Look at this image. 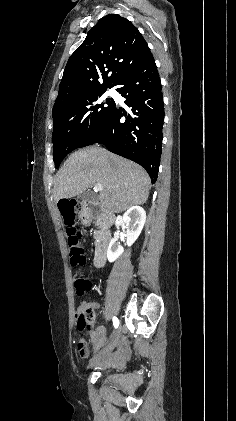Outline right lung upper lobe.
I'll use <instances>...</instances> for the list:
<instances>
[{"label": "right lung upper lobe", "mask_w": 236, "mask_h": 421, "mask_svg": "<svg viewBox=\"0 0 236 421\" xmlns=\"http://www.w3.org/2000/svg\"><path fill=\"white\" fill-rule=\"evenodd\" d=\"M151 55L129 20L116 14L102 17L69 58L53 110L74 98L113 87L125 72Z\"/></svg>", "instance_id": "cb5924a9"}]
</instances>
